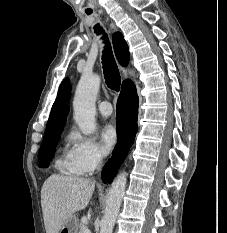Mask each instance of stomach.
<instances>
[{
    "instance_id": "0dacf381",
    "label": "stomach",
    "mask_w": 227,
    "mask_h": 233,
    "mask_svg": "<svg viewBox=\"0 0 227 233\" xmlns=\"http://www.w3.org/2000/svg\"><path fill=\"white\" fill-rule=\"evenodd\" d=\"M78 219L75 215H71L61 226L59 233H78Z\"/></svg>"
}]
</instances>
